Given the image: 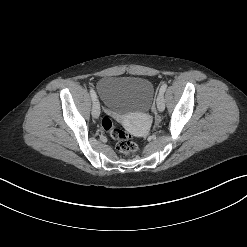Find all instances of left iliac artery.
Segmentation results:
<instances>
[{
	"label": "left iliac artery",
	"mask_w": 247,
	"mask_h": 247,
	"mask_svg": "<svg viewBox=\"0 0 247 247\" xmlns=\"http://www.w3.org/2000/svg\"><path fill=\"white\" fill-rule=\"evenodd\" d=\"M166 88H167V83H164V84L161 86L159 93L164 94Z\"/></svg>",
	"instance_id": "left-iliac-artery-1"
}]
</instances>
